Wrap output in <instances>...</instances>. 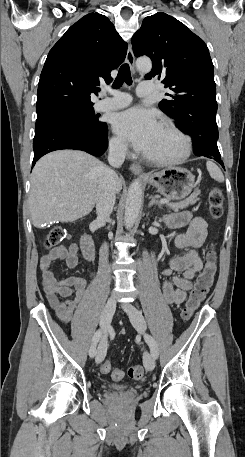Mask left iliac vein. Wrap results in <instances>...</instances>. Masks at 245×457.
Wrapping results in <instances>:
<instances>
[{
  "instance_id": "1",
  "label": "left iliac vein",
  "mask_w": 245,
  "mask_h": 457,
  "mask_svg": "<svg viewBox=\"0 0 245 457\" xmlns=\"http://www.w3.org/2000/svg\"><path fill=\"white\" fill-rule=\"evenodd\" d=\"M123 310L128 314L130 321L135 329L139 332L144 333L147 325L144 316L142 313L132 304H123ZM144 366L147 371H151L155 367V357L150 353H145L144 355Z\"/></svg>"
}]
</instances>
